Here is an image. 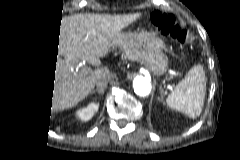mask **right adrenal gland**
I'll return each mask as SVG.
<instances>
[{"label": "right adrenal gland", "instance_id": "2a0ac1e0", "mask_svg": "<svg viewBox=\"0 0 240 160\" xmlns=\"http://www.w3.org/2000/svg\"><path fill=\"white\" fill-rule=\"evenodd\" d=\"M98 93V94H103V92H104V89H96L95 91H94V93Z\"/></svg>", "mask_w": 240, "mask_h": 160}]
</instances>
